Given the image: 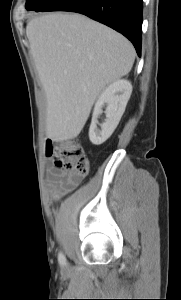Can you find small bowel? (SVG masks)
Masks as SVG:
<instances>
[{
  "label": "small bowel",
  "mask_w": 181,
  "mask_h": 300,
  "mask_svg": "<svg viewBox=\"0 0 181 300\" xmlns=\"http://www.w3.org/2000/svg\"><path fill=\"white\" fill-rule=\"evenodd\" d=\"M81 178H73L65 170L52 166L48 169L47 187L48 191L55 198H61L75 189Z\"/></svg>",
  "instance_id": "c3829d8e"
}]
</instances>
